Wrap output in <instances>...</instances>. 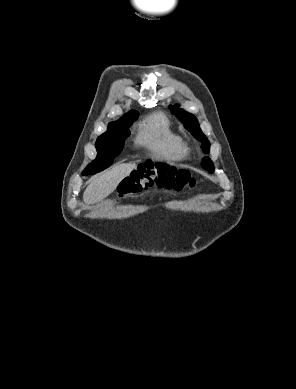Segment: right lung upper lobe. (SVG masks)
I'll return each mask as SVG.
<instances>
[{
  "label": "right lung upper lobe",
  "instance_id": "obj_1",
  "mask_svg": "<svg viewBox=\"0 0 296 389\" xmlns=\"http://www.w3.org/2000/svg\"><path fill=\"white\" fill-rule=\"evenodd\" d=\"M132 112H137V111H133V110H132V111H131V112H129V113H132Z\"/></svg>",
  "mask_w": 296,
  "mask_h": 389
}]
</instances>
